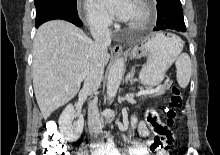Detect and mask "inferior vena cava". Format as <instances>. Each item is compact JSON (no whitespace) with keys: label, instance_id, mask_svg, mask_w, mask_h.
<instances>
[{"label":"inferior vena cava","instance_id":"obj_1","mask_svg":"<svg viewBox=\"0 0 220 155\" xmlns=\"http://www.w3.org/2000/svg\"><path fill=\"white\" fill-rule=\"evenodd\" d=\"M89 26L94 42L88 52V63L85 69V78L82 91L88 95L97 92L104 73L107 48L111 44V34L107 18L103 14L95 13L89 16ZM88 127L92 136L102 133V125L96 101L88 105Z\"/></svg>","mask_w":220,"mask_h":155}]
</instances>
